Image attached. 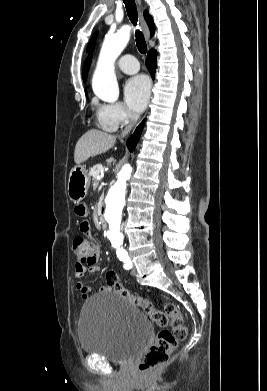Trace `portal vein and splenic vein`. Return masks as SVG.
Masks as SVG:
<instances>
[{
  "label": "portal vein and splenic vein",
  "instance_id": "18ae733b",
  "mask_svg": "<svg viewBox=\"0 0 267 391\" xmlns=\"http://www.w3.org/2000/svg\"><path fill=\"white\" fill-rule=\"evenodd\" d=\"M102 178H103V175H102V174L97 176V179H98V180H100V179H102Z\"/></svg>",
  "mask_w": 267,
  "mask_h": 391
}]
</instances>
